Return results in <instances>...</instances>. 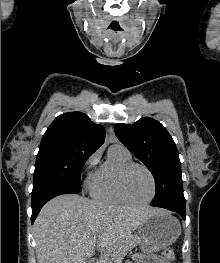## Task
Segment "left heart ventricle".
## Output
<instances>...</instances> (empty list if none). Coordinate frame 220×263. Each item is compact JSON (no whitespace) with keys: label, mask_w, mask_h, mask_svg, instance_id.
<instances>
[{"label":"left heart ventricle","mask_w":220,"mask_h":263,"mask_svg":"<svg viewBox=\"0 0 220 263\" xmlns=\"http://www.w3.org/2000/svg\"><path fill=\"white\" fill-rule=\"evenodd\" d=\"M125 188L132 200L145 201L152 193V182L146 171L134 168L126 177Z\"/></svg>","instance_id":"obj_1"}]
</instances>
